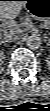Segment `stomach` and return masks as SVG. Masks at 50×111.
I'll return each instance as SVG.
<instances>
[{
	"label": "stomach",
	"mask_w": 50,
	"mask_h": 111,
	"mask_svg": "<svg viewBox=\"0 0 50 111\" xmlns=\"http://www.w3.org/2000/svg\"><path fill=\"white\" fill-rule=\"evenodd\" d=\"M25 8L38 21H50V0H26Z\"/></svg>",
	"instance_id": "0dacf381"
}]
</instances>
